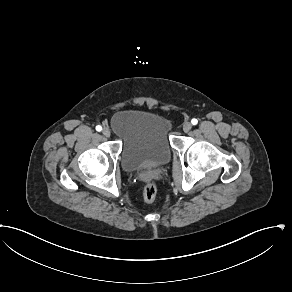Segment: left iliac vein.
<instances>
[{
    "mask_svg": "<svg viewBox=\"0 0 292 292\" xmlns=\"http://www.w3.org/2000/svg\"><path fill=\"white\" fill-rule=\"evenodd\" d=\"M191 128H192V124L190 122H185L183 124V131L184 132H186V133L189 132L191 130Z\"/></svg>",
    "mask_w": 292,
    "mask_h": 292,
    "instance_id": "4c4485c4",
    "label": "left iliac vein"
}]
</instances>
